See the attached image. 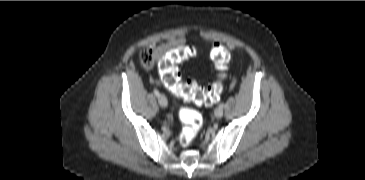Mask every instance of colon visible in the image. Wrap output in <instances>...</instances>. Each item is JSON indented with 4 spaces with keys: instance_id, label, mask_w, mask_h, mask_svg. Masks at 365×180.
<instances>
[{
    "instance_id": "5ec220e1",
    "label": "colon",
    "mask_w": 365,
    "mask_h": 180,
    "mask_svg": "<svg viewBox=\"0 0 365 180\" xmlns=\"http://www.w3.org/2000/svg\"><path fill=\"white\" fill-rule=\"evenodd\" d=\"M195 54L196 49L192 45H184L172 50L160 62L161 80L171 91L185 98L192 99L196 103L210 106L219 98L223 90V84L227 80L229 54L220 43H216L212 47L210 58L217 69L218 78L208 88L199 86L194 80H188L185 83L180 81L177 65L192 58ZM140 62L143 67L151 68L154 64L152 50L148 48L143 49L140 52ZM180 118L184 125L180 134V143L183 147H187L198 135L202 124V117L196 111L182 110Z\"/></svg>"
}]
</instances>
